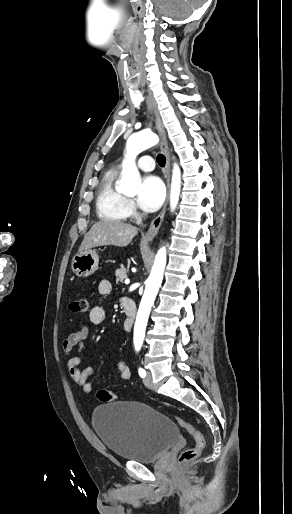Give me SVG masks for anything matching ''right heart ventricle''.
Segmentation results:
<instances>
[{
    "instance_id": "obj_1",
    "label": "right heart ventricle",
    "mask_w": 292,
    "mask_h": 514,
    "mask_svg": "<svg viewBox=\"0 0 292 514\" xmlns=\"http://www.w3.org/2000/svg\"><path fill=\"white\" fill-rule=\"evenodd\" d=\"M117 177L115 170H109L100 180L95 202L99 219L121 221L129 214L127 197L115 187Z\"/></svg>"
}]
</instances>
